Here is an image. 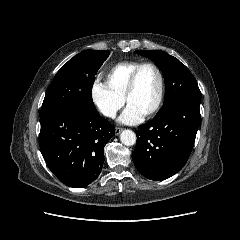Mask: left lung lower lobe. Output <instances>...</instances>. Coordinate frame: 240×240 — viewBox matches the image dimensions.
<instances>
[{
    "mask_svg": "<svg viewBox=\"0 0 240 240\" xmlns=\"http://www.w3.org/2000/svg\"><path fill=\"white\" fill-rule=\"evenodd\" d=\"M200 101L176 100L138 127L132 160L147 179L165 180L186 164L199 126Z\"/></svg>",
    "mask_w": 240,
    "mask_h": 240,
    "instance_id": "0a47b994",
    "label": "left lung lower lobe"
}]
</instances>
